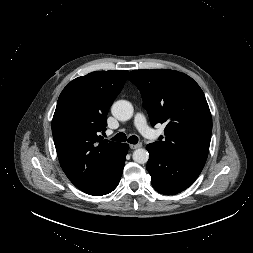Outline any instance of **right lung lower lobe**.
I'll return each instance as SVG.
<instances>
[{
  "label": "right lung lower lobe",
  "mask_w": 253,
  "mask_h": 253,
  "mask_svg": "<svg viewBox=\"0 0 253 253\" xmlns=\"http://www.w3.org/2000/svg\"><path fill=\"white\" fill-rule=\"evenodd\" d=\"M128 148V144H121L98 179L82 191L93 196L112 192L121 179Z\"/></svg>",
  "instance_id": "obj_1"
}]
</instances>
